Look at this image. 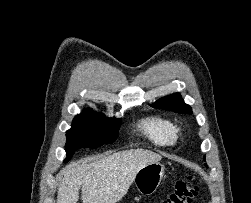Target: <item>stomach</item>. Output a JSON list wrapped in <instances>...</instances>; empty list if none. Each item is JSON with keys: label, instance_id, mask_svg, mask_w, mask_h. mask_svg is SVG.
<instances>
[{"label": "stomach", "instance_id": "1", "mask_svg": "<svg viewBox=\"0 0 251 203\" xmlns=\"http://www.w3.org/2000/svg\"><path fill=\"white\" fill-rule=\"evenodd\" d=\"M165 167L159 162L141 168L134 179L137 190L143 195L153 194L163 179Z\"/></svg>", "mask_w": 251, "mask_h": 203}]
</instances>
